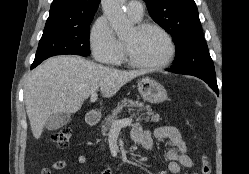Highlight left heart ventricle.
Segmentation results:
<instances>
[{"instance_id": "obj_1", "label": "left heart ventricle", "mask_w": 249, "mask_h": 174, "mask_svg": "<svg viewBox=\"0 0 249 174\" xmlns=\"http://www.w3.org/2000/svg\"><path fill=\"white\" fill-rule=\"evenodd\" d=\"M127 53L142 63H160L170 53V45L165 36L157 30L150 29L139 33L134 28L124 39Z\"/></svg>"}]
</instances>
